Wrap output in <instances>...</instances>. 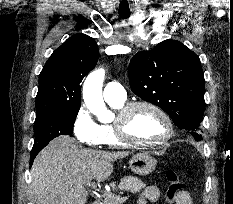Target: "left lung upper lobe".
I'll return each instance as SVG.
<instances>
[{
    "mask_svg": "<svg viewBox=\"0 0 233 204\" xmlns=\"http://www.w3.org/2000/svg\"><path fill=\"white\" fill-rule=\"evenodd\" d=\"M129 81L134 94L159 106L176 126L202 140L205 80L194 52L176 40L138 52L130 61Z\"/></svg>",
    "mask_w": 233,
    "mask_h": 204,
    "instance_id": "1",
    "label": "left lung upper lobe"
}]
</instances>
